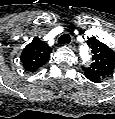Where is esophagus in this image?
Returning a JSON list of instances; mask_svg holds the SVG:
<instances>
[{
    "instance_id": "esophagus-1",
    "label": "esophagus",
    "mask_w": 115,
    "mask_h": 119,
    "mask_svg": "<svg viewBox=\"0 0 115 119\" xmlns=\"http://www.w3.org/2000/svg\"><path fill=\"white\" fill-rule=\"evenodd\" d=\"M68 46H69L70 48L74 49L72 43H69Z\"/></svg>"
}]
</instances>
